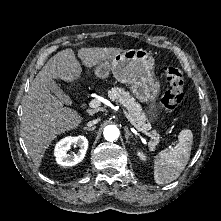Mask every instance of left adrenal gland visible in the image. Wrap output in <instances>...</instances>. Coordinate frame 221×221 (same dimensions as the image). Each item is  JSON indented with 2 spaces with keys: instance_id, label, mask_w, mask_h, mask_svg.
Segmentation results:
<instances>
[{
  "instance_id": "1",
  "label": "left adrenal gland",
  "mask_w": 221,
  "mask_h": 221,
  "mask_svg": "<svg viewBox=\"0 0 221 221\" xmlns=\"http://www.w3.org/2000/svg\"><path fill=\"white\" fill-rule=\"evenodd\" d=\"M129 138H133V135L130 133L128 127H125V139L128 142Z\"/></svg>"
}]
</instances>
